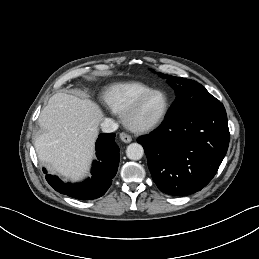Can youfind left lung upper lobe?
I'll return each mask as SVG.
<instances>
[{
	"label": "left lung upper lobe",
	"instance_id": "5c2ea615",
	"mask_svg": "<svg viewBox=\"0 0 259 259\" xmlns=\"http://www.w3.org/2000/svg\"><path fill=\"white\" fill-rule=\"evenodd\" d=\"M176 90V100L166 118H172L194 111L199 108L220 103L204 86L186 78L173 77L158 73Z\"/></svg>",
	"mask_w": 259,
	"mask_h": 259
}]
</instances>
